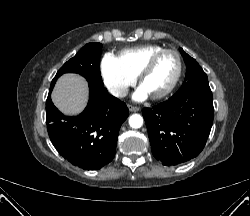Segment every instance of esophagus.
Returning <instances> with one entry per match:
<instances>
[{
  "label": "esophagus",
  "mask_w": 250,
  "mask_h": 216,
  "mask_svg": "<svg viewBox=\"0 0 250 216\" xmlns=\"http://www.w3.org/2000/svg\"><path fill=\"white\" fill-rule=\"evenodd\" d=\"M128 108H129V111H131V112H138L140 110L139 107H135L132 105H128Z\"/></svg>",
  "instance_id": "1"
}]
</instances>
